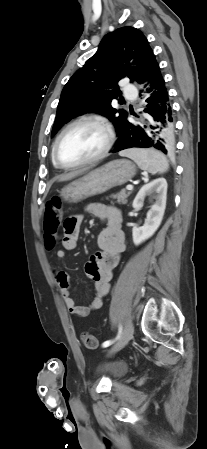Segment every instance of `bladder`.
I'll use <instances>...</instances> for the list:
<instances>
[{
    "mask_svg": "<svg viewBox=\"0 0 207 449\" xmlns=\"http://www.w3.org/2000/svg\"><path fill=\"white\" fill-rule=\"evenodd\" d=\"M128 370V367L123 362H111L99 364L96 368V374L106 375L110 379H117L123 376Z\"/></svg>",
    "mask_w": 207,
    "mask_h": 449,
    "instance_id": "obj_1",
    "label": "bladder"
}]
</instances>
